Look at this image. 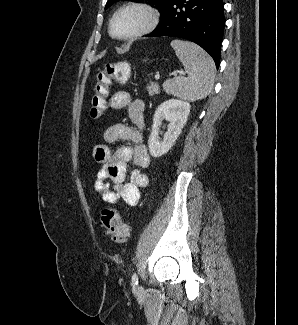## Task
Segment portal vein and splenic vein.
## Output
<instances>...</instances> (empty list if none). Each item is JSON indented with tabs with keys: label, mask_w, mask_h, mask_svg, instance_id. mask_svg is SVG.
<instances>
[{
	"label": "portal vein and splenic vein",
	"mask_w": 298,
	"mask_h": 325,
	"mask_svg": "<svg viewBox=\"0 0 298 325\" xmlns=\"http://www.w3.org/2000/svg\"><path fill=\"white\" fill-rule=\"evenodd\" d=\"M155 78H160V74H156Z\"/></svg>",
	"instance_id": "portal-vein-and-splenic-vein-1"
}]
</instances>
